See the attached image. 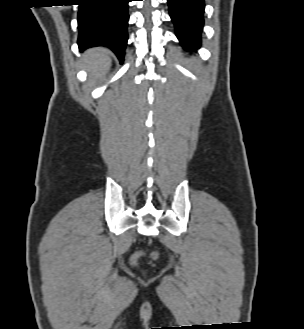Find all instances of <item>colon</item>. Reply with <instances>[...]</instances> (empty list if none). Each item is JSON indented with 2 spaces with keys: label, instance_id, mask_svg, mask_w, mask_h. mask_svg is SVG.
<instances>
[{
  "label": "colon",
  "instance_id": "obj_1",
  "mask_svg": "<svg viewBox=\"0 0 304 329\" xmlns=\"http://www.w3.org/2000/svg\"><path fill=\"white\" fill-rule=\"evenodd\" d=\"M153 257L156 258V254H154ZM135 258H136V257H135ZM135 258H134V259H135Z\"/></svg>",
  "mask_w": 304,
  "mask_h": 329
}]
</instances>
